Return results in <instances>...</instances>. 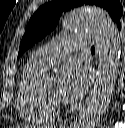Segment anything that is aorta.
I'll use <instances>...</instances> for the list:
<instances>
[{"mask_svg": "<svg viewBox=\"0 0 125 128\" xmlns=\"http://www.w3.org/2000/svg\"><path fill=\"white\" fill-rule=\"evenodd\" d=\"M63 24L71 30H85L96 40L99 53L96 82L73 125V128H96L113 94L121 52L120 36L109 15L93 6L69 12Z\"/></svg>", "mask_w": 125, "mask_h": 128, "instance_id": "aorta-1", "label": "aorta"}]
</instances>
